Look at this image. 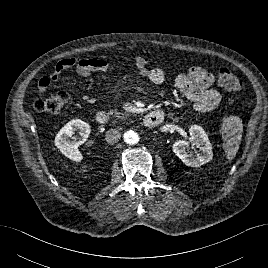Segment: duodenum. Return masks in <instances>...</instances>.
Returning <instances> with one entry per match:
<instances>
[{"instance_id": "410a0bca", "label": "duodenum", "mask_w": 268, "mask_h": 268, "mask_svg": "<svg viewBox=\"0 0 268 268\" xmlns=\"http://www.w3.org/2000/svg\"><path fill=\"white\" fill-rule=\"evenodd\" d=\"M162 120H163V114L161 112L152 111L145 116L143 124L145 127H155L159 125L162 122ZM95 121L98 124L107 125L111 121V117L104 112H98L95 115Z\"/></svg>"}]
</instances>
